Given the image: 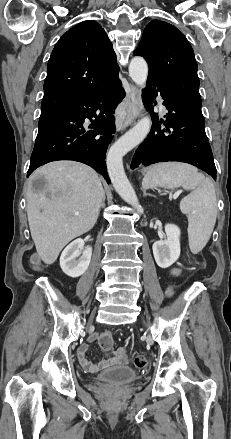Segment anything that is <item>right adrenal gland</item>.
Masks as SVG:
<instances>
[{
	"label": "right adrenal gland",
	"mask_w": 231,
	"mask_h": 439,
	"mask_svg": "<svg viewBox=\"0 0 231 439\" xmlns=\"http://www.w3.org/2000/svg\"><path fill=\"white\" fill-rule=\"evenodd\" d=\"M105 193L103 194V200H102V203H101V206L100 207H102V208H104L105 207Z\"/></svg>",
	"instance_id": "right-adrenal-gland-1"
}]
</instances>
